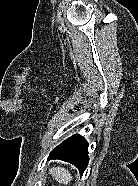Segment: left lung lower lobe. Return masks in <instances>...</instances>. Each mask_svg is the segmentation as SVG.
Instances as JSON below:
<instances>
[{
	"instance_id": "left-lung-lower-lobe-1",
	"label": "left lung lower lobe",
	"mask_w": 138,
	"mask_h": 186,
	"mask_svg": "<svg viewBox=\"0 0 138 186\" xmlns=\"http://www.w3.org/2000/svg\"><path fill=\"white\" fill-rule=\"evenodd\" d=\"M49 159H59L74 164L82 174L89 162L88 143L80 135L75 134L59 144L49 154Z\"/></svg>"
}]
</instances>
